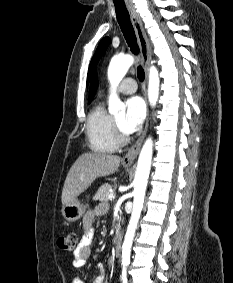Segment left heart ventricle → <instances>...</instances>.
Instances as JSON below:
<instances>
[{
	"label": "left heart ventricle",
	"mask_w": 233,
	"mask_h": 283,
	"mask_svg": "<svg viewBox=\"0 0 233 283\" xmlns=\"http://www.w3.org/2000/svg\"><path fill=\"white\" fill-rule=\"evenodd\" d=\"M124 115H119L115 118V120L117 121V123L120 125V127L123 129V122H124ZM124 130V129H123Z\"/></svg>",
	"instance_id": "obj_1"
}]
</instances>
